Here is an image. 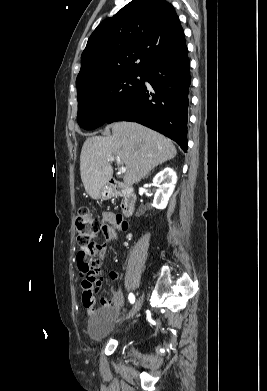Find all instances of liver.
<instances>
[{
	"label": "liver",
	"mask_w": 267,
	"mask_h": 391,
	"mask_svg": "<svg viewBox=\"0 0 267 391\" xmlns=\"http://www.w3.org/2000/svg\"><path fill=\"white\" fill-rule=\"evenodd\" d=\"M111 128L112 136L89 137L81 150V180L93 199L99 198L100 190L113 176L109 156L120 158L126 167L124 183L131 186L177 154L168 138L140 124L116 122Z\"/></svg>",
	"instance_id": "liver-1"
}]
</instances>
